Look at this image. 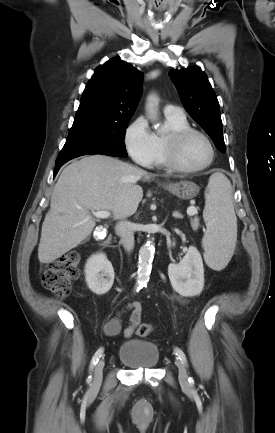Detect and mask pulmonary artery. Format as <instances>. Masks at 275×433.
I'll return each mask as SVG.
<instances>
[{"label":"pulmonary artery","instance_id":"pulmonary-artery-1","mask_svg":"<svg viewBox=\"0 0 275 433\" xmlns=\"http://www.w3.org/2000/svg\"><path fill=\"white\" fill-rule=\"evenodd\" d=\"M164 114L173 117H184L183 110L175 105H167L164 108Z\"/></svg>","mask_w":275,"mask_h":433}]
</instances>
